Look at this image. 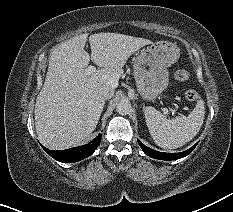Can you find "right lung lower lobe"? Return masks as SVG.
Listing matches in <instances>:
<instances>
[{
  "label": "right lung lower lobe",
  "instance_id": "98d812e1",
  "mask_svg": "<svg viewBox=\"0 0 233 212\" xmlns=\"http://www.w3.org/2000/svg\"><path fill=\"white\" fill-rule=\"evenodd\" d=\"M101 141V134H99L93 141L86 145L70 148L67 150L53 151L45 148L43 149L53 158L60 162H77L93 154Z\"/></svg>",
  "mask_w": 233,
  "mask_h": 212
}]
</instances>
